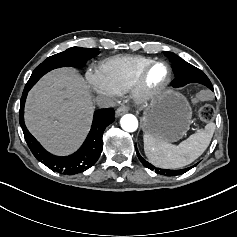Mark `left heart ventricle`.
<instances>
[{
	"instance_id": "left-heart-ventricle-1",
	"label": "left heart ventricle",
	"mask_w": 237,
	"mask_h": 237,
	"mask_svg": "<svg viewBox=\"0 0 237 237\" xmlns=\"http://www.w3.org/2000/svg\"><path fill=\"white\" fill-rule=\"evenodd\" d=\"M166 77V68L163 65L154 66L148 74V82L151 85L161 83Z\"/></svg>"
}]
</instances>
